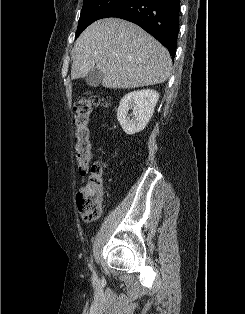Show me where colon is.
<instances>
[{
    "instance_id": "obj_1",
    "label": "colon",
    "mask_w": 245,
    "mask_h": 314,
    "mask_svg": "<svg viewBox=\"0 0 245 314\" xmlns=\"http://www.w3.org/2000/svg\"><path fill=\"white\" fill-rule=\"evenodd\" d=\"M104 102L94 92H88L74 105L75 161L83 177L76 196L78 212L85 223H91L100 216L103 201V169L100 162L91 163L90 119L94 107Z\"/></svg>"
}]
</instances>
